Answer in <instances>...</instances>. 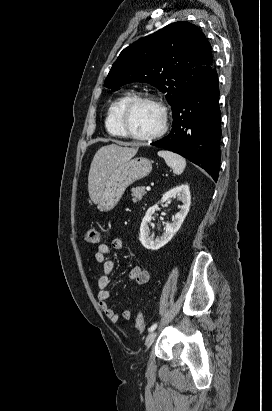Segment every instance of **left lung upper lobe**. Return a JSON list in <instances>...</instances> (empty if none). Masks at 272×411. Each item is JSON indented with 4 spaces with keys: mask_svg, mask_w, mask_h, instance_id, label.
<instances>
[{
    "mask_svg": "<svg viewBox=\"0 0 272 411\" xmlns=\"http://www.w3.org/2000/svg\"><path fill=\"white\" fill-rule=\"evenodd\" d=\"M211 45L193 24H169L125 48L112 65L105 86L113 91L146 82L166 93L172 112L212 70Z\"/></svg>",
    "mask_w": 272,
    "mask_h": 411,
    "instance_id": "obj_1",
    "label": "left lung upper lobe"
}]
</instances>
